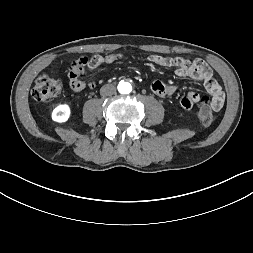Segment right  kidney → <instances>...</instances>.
Returning a JSON list of instances; mask_svg holds the SVG:
<instances>
[{
    "mask_svg": "<svg viewBox=\"0 0 253 253\" xmlns=\"http://www.w3.org/2000/svg\"><path fill=\"white\" fill-rule=\"evenodd\" d=\"M70 117V107L67 104L58 105L52 112V119L56 122L63 123Z\"/></svg>",
    "mask_w": 253,
    "mask_h": 253,
    "instance_id": "obj_1",
    "label": "right kidney"
}]
</instances>
